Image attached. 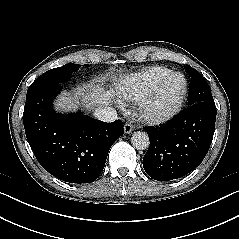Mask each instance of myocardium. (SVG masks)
Wrapping results in <instances>:
<instances>
[{
  "instance_id": "obj_1",
  "label": "myocardium",
  "mask_w": 239,
  "mask_h": 239,
  "mask_svg": "<svg viewBox=\"0 0 239 239\" xmlns=\"http://www.w3.org/2000/svg\"><path fill=\"white\" fill-rule=\"evenodd\" d=\"M174 77H180L182 79L183 84L179 95L167 110L162 112L152 111L150 109L152 98L166 82ZM187 92L188 83L186 77L180 72H170L155 81L152 86L146 91V93L138 100L136 107V116L140 121L150 125H159L169 122L181 112L183 104L186 100Z\"/></svg>"
}]
</instances>
